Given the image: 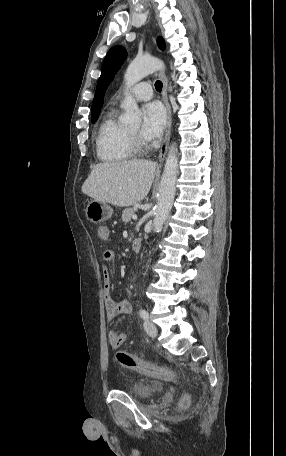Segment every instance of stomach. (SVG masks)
<instances>
[{
	"instance_id": "stomach-1",
	"label": "stomach",
	"mask_w": 286,
	"mask_h": 456,
	"mask_svg": "<svg viewBox=\"0 0 286 456\" xmlns=\"http://www.w3.org/2000/svg\"><path fill=\"white\" fill-rule=\"evenodd\" d=\"M87 219L95 224L104 222L113 215V209L104 202L91 201L85 210Z\"/></svg>"
}]
</instances>
